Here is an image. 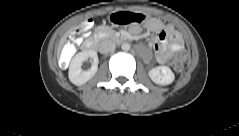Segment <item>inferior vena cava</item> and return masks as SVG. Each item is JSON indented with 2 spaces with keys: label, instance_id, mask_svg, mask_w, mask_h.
Wrapping results in <instances>:
<instances>
[{
  "label": "inferior vena cava",
  "instance_id": "602c4592",
  "mask_svg": "<svg viewBox=\"0 0 239 136\" xmlns=\"http://www.w3.org/2000/svg\"><path fill=\"white\" fill-rule=\"evenodd\" d=\"M115 48V43L110 39H105L99 44V52L102 54L112 52L115 50Z\"/></svg>",
  "mask_w": 239,
  "mask_h": 136
}]
</instances>
